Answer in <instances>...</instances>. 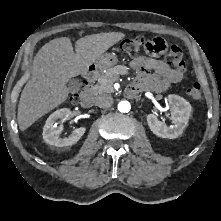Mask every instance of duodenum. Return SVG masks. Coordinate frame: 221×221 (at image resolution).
Wrapping results in <instances>:
<instances>
[{"mask_svg": "<svg viewBox=\"0 0 221 221\" xmlns=\"http://www.w3.org/2000/svg\"><path fill=\"white\" fill-rule=\"evenodd\" d=\"M97 72H98L97 67L95 65H90L84 74L83 86H82V91H81V95H80L81 103L84 106H88L92 102L91 82L95 78ZM126 93L129 96H132L136 93V91L130 87L127 89Z\"/></svg>", "mask_w": 221, "mask_h": 221, "instance_id": "duodenum-1", "label": "duodenum"}]
</instances>
